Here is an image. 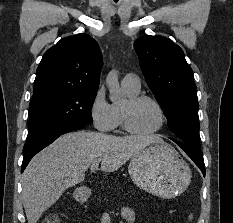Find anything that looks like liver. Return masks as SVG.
Masks as SVG:
<instances>
[{"instance_id": "liver-1", "label": "liver", "mask_w": 233, "mask_h": 223, "mask_svg": "<svg viewBox=\"0 0 233 223\" xmlns=\"http://www.w3.org/2000/svg\"><path fill=\"white\" fill-rule=\"evenodd\" d=\"M158 135H108L97 131L65 133L32 157L22 173V201L27 223H37L43 211L51 207L65 189L82 183L93 161L102 171L111 173L122 167L132 155Z\"/></svg>"}]
</instances>
